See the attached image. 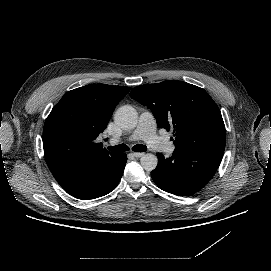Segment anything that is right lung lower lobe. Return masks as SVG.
Masks as SVG:
<instances>
[{
    "mask_svg": "<svg viewBox=\"0 0 271 271\" xmlns=\"http://www.w3.org/2000/svg\"><path fill=\"white\" fill-rule=\"evenodd\" d=\"M126 161V154L117 153L110 159L91 162L60 185L67 193L78 199L102 197L116 188L123 175Z\"/></svg>",
    "mask_w": 271,
    "mask_h": 271,
    "instance_id": "1",
    "label": "right lung lower lobe"
}]
</instances>
